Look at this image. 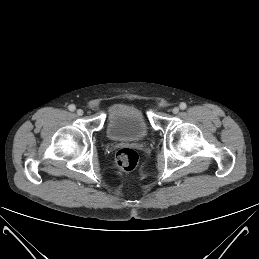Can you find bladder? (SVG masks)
<instances>
[{
	"label": "bladder",
	"instance_id": "31cf9c89",
	"mask_svg": "<svg viewBox=\"0 0 259 259\" xmlns=\"http://www.w3.org/2000/svg\"><path fill=\"white\" fill-rule=\"evenodd\" d=\"M142 112L132 104L119 102L106 113V134L111 140H142L148 135Z\"/></svg>",
	"mask_w": 259,
	"mask_h": 259
}]
</instances>
